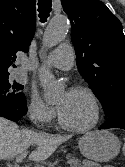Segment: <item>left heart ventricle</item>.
<instances>
[{
	"mask_svg": "<svg viewBox=\"0 0 125 167\" xmlns=\"http://www.w3.org/2000/svg\"><path fill=\"white\" fill-rule=\"evenodd\" d=\"M59 110L72 126L84 127L94 118V106L91 99L82 92L69 91L61 94L57 99Z\"/></svg>",
	"mask_w": 125,
	"mask_h": 167,
	"instance_id": "1",
	"label": "left heart ventricle"
}]
</instances>
